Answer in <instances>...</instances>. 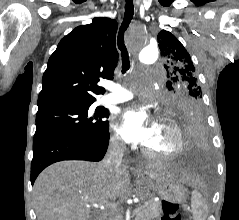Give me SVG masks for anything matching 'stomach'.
I'll list each match as a JSON object with an SVG mask.
<instances>
[{"instance_id": "obj_1", "label": "stomach", "mask_w": 239, "mask_h": 220, "mask_svg": "<svg viewBox=\"0 0 239 220\" xmlns=\"http://www.w3.org/2000/svg\"><path fill=\"white\" fill-rule=\"evenodd\" d=\"M158 194L162 199V210L159 220H185L187 212L185 205H178L187 197V190L182 182L171 177L156 180L155 183H144ZM177 204V205H175Z\"/></svg>"}]
</instances>
